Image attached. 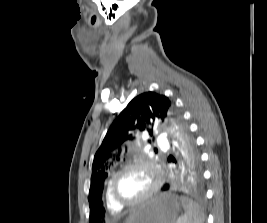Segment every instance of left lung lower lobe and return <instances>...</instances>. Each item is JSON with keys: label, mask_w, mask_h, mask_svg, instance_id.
Instances as JSON below:
<instances>
[{"label": "left lung lower lobe", "mask_w": 267, "mask_h": 223, "mask_svg": "<svg viewBox=\"0 0 267 223\" xmlns=\"http://www.w3.org/2000/svg\"><path fill=\"white\" fill-rule=\"evenodd\" d=\"M181 176L189 177L184 179L185 189H201L200 181L202 176H204V171H181ZM164 182H183V177H164ZM162 190H165V192H172V187L165 184Z\"/></svg>", "instance_id": "0a47b994"}]
</instances>
